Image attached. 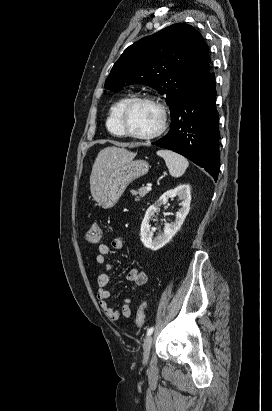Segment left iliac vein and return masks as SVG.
<instances>
[{
    "mask_svg": "<svg viewBox=\"0 0 272 411\" xmlns=\"http://www.w3.org/2000/svg\"><path fill=\"white\" fill-rule=\"evenodd\" d=\"M152 342H153L152 336H148L144 341V344H143V362L144 363L148 361Z\"/></svg>",
    "mask_w": 272,
    "mask_h": 411,
    "instance_id": "1",
    "label": "left iliac vein"
}]
</instances>
